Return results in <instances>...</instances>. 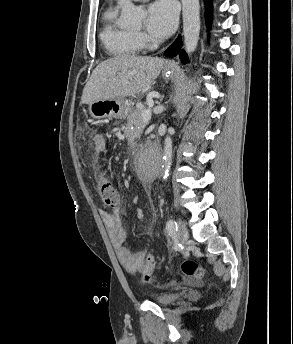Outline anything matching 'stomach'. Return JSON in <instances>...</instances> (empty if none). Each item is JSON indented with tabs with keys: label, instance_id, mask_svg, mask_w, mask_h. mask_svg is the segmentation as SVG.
Returning a JSON list of instances; mask_svg holds the SVG:
<instances>
[{
	"label": "stomach",
	"instance_id": "0dacf381",
	"mask_svg": "<svg viewBox=\"0 0 293 344\" xmlns=\"http://www.w3.org/2000/svg\"><path fill=\"white\" fill-rule=\"evenodd\" d=\"M170 72L165 71L164 77H170ZM130 106L123 98L98 100L89 105V112L95 119L116 118L124 119L128 116Z\"/></svg>",
	"mask_w": 293,
	"mask_h": 344
}]
</instances>
